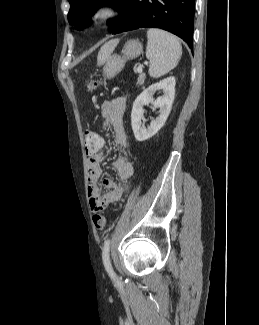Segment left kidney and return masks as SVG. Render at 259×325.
Returning a JSON list of instances; mask_svg holds the SVG:
<instances>
[{
    "mask_svg": "<svg viewBox=\"0 0 259 325\" xmlns=\"http://www.w3.org/2000/svg\"><path fill=\"white\" fill-rule=\"evenodd\" d=\"M158 90H163L164 94L154 100L153 95ZM174 96L175 78L168 77L159 83L150 85L136 98L131 112V126L137 141H145L151 138L164 126L170 114ZM149 103L160 108V115L151 121L148 128H145L141 121L144 114L143 106Z\"/></svg>",
    "mask_w": 259,
    "mask_h": 325,
    "instance_id": "obj_1",
    "label": "left kidney"
}]
</instances>
